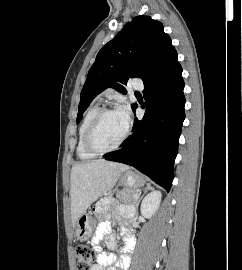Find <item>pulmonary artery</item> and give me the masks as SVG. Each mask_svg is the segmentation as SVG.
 Listing matches in <instances>:
<instances>
[{
    "label": "pulmonary artery",
    "instance_id": "e3ab8cb5",
    "mask_svg": "<svg viewBox=\"0 0 242 270\" xmlns=\"http://www.w3.org/2000/svg\"><path fill=\"white\" fill-rule=\"evenodd\" d=\"M132 87L137 90H142L143 89V82L141 80H137L132 83Z\"/></svg>",
    "mask_w": 242,
    "mask_h": 270
}]
</instances>
